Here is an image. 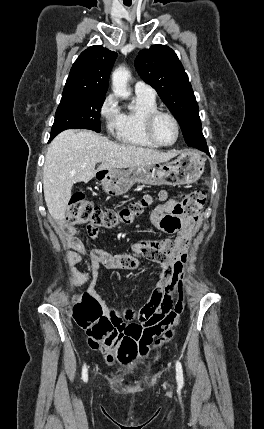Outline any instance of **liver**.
<instances>
[{"mask_svg": "<svg viewBox=\"0 0 264 429\" xmlns=\"http://www.w3.org/2000/svg\"><path fill=\"white\" fill-rule=\"evenodd\" d=\"M177 154L117 144L89 130H65L50 143L45 158L43 190L48 211L54 220L63 221L73 184L89 182L98 170L163 163ZM97 163L101 164L95 170Z\"/></svg>", "mask_w": 264, "mask_h": 429, "instance_id": "obj_1", "label": "liver"}]
</instances>
